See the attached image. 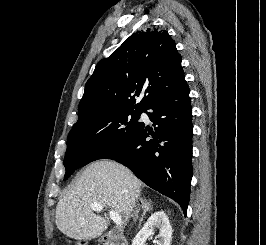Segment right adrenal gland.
<instances>
[{"label": "right adrenal gland", "instance_id": "right-adrenal-gland-1", "mask_svg": "<svg viewBox=\"0 0 266 245\" xmlns=\"http://www.w3.org/2000/svg\"><path fill=\"white\" fill-rule=\"evenodd\" d=\"M141 203H142L143 213L141 215L139 227H141L142 221L146 217V213H148V211H152V209H153L151 201H149V203H148V201H146V199H141Z\"/></svg>", "mask_w": 266, "mask_h": 245}]
</instances>
